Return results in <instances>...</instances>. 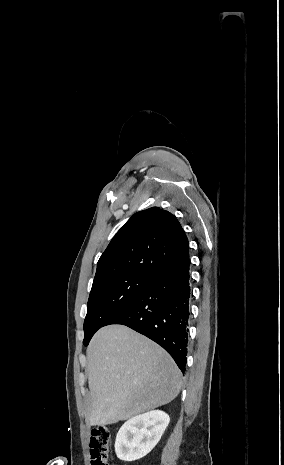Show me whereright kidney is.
<instances>
[{
    "label": "right kidney",
    "instance_id": "1",
    "mask_svg": "<svg viewBox=\"0 0 284 465\" xmlns=\"http://www.w3.org/2000/svg\"><path fill=\"white\" fill-rule=\"evenodd\" d=\"M170 421L164 411H149L126 421L119 429L115 453L121 461L142 459L160 441Z\"/></svg>",
    "mask_w": 284,
    "mask_h": 465
}]
</instances>
